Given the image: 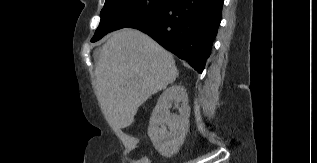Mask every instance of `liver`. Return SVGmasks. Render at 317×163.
Returning a JSON list of instances; mask_svg holds the SVG:
<instances>
[{
  "label": "liver",
  "mask_w": 317,
  "mask_h": 163,
  "mask_svg": "<svg viewBox=\"0 0 317 163\" xmlns=\"http://www.w3.org/2000/svg\"><path fill=\"white\" fill-rule=\"evenodd\" d=\"M177 76L172 54L148 35L131 28L112 33L95 69V93L110 127L130 126L139 106Z\"/></svg>",
  "instance_id": "6515ba94"
}]
</instances>
